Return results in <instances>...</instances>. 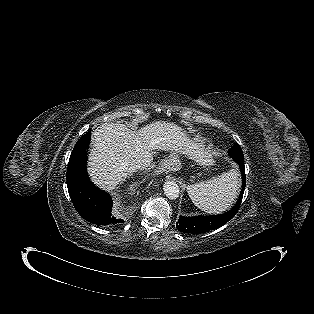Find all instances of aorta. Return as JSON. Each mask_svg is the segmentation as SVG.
Listing matches in <instances>:
<instances>
[{
	"label": "aorta",
	"instance_id": "aorta-1",
	"mask_svg": "<svg viewBox=\"0 0 314 314\" xmlns=\"http://www.w3.org/2000/svg\"><path fill=\"white\" fill-rule=\"evenodd\" d=\"M163 190L169 199H177L179 197L180 189L174 181H166L163 185Z\"/></svg>",
	"mask_w": 314,
	"mask_h": 314
}]
</instances>
